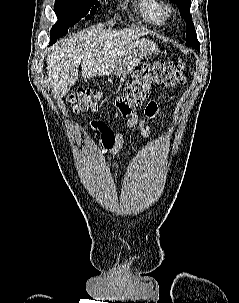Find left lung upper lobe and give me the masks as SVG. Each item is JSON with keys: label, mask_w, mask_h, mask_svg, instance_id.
<instances>
[{"label": "left lung upper lobe", "mask_w": 239, "mask_h": 303, "mask_svg": "<svg viewBox=\"0 0 239 303\" xmlns=\"http://www.w3.org/2000/svg\"><path fill=\"white\" fill-rule=\"evenodd\" d=\"M171 1L177 4L180 10V15L186 22L187 44H189L191 47L195 48L196 50L200 51V43L197 40L196 31L192 21V16L190 14L191 0H171Z\"/></svg>", "instance_id": "1"}]
</instances>
